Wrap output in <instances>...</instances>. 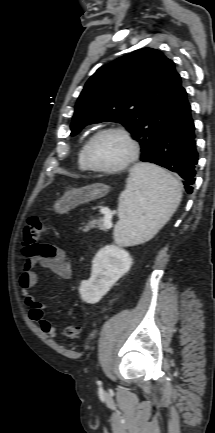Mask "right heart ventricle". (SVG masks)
I'll list each match as a JSON object with an SVG mask.
<instances>
[{
	"instance_id": "right-heart-ventricle-1",
	"label": "right heart ventricle",
	"mask_w": 215,
	"mask_h": 433,
	"mask_svg": "<svg viewBox=\"0 0 215 433\" xmlns=\"http://www.w3.org/2000/svg\"><path fill=\"white\" fill-rule=\"evenodd\" d=\"M86 143L87 142H85L82 145V147H81V149H80V151L78 153V159H77L78 160V166H79L80 170H82V171H89V170H91L88 167V165L86 164V161H85V158H84V149H85Z\"/></svg>"
}]
</instances>
